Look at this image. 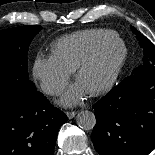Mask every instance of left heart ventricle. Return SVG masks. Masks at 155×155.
Instances as JSON below:
<instances>
[{
    "label": "left heart ventricle",
    "mask_w": 155,
    "mask_h": 155,
    "mask_svg": "<svg viewBox=\"0 0 155 155\" xmlns=\"http://www.w3.org/2000/svg\"><path fill=\"white\" fill-rule=\"evenodd\" d=\"M121 56V44L118 42L109 44L97 60L81 74L78 83L87 92L99 88L110 79Z\"/></svg>",
    "instance_id": "1"
}]
</instances>
